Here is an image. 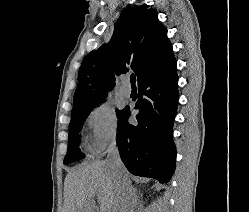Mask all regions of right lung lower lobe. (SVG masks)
<instances>
[{"instance_id": "1", "label": "right lung lower lobe", "mask_w": 249, "mask_h": 212, "mask_svg": "<svg viewBox=\"0 0 249 212\" xmlns=\"http://www.w3.org/2000/svg\"><path fill=\"white\" fill-rule=\"evenodd\" d=\"M178 76L172 54L138 82L139 99L134 109L138 124L128 123L126 106L118 118L117 146L127 169L136 176L169 182L174 170L176 149L172 127L178 103Z\"/></svg>"}]
</instances>
